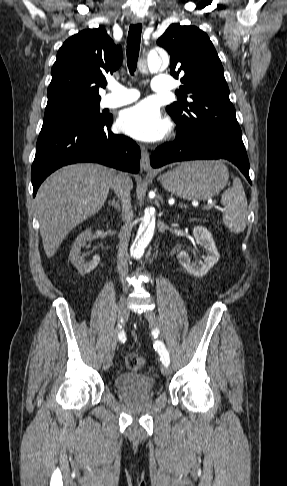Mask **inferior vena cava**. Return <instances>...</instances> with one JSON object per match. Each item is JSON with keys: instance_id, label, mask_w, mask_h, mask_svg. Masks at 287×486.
Masks as SVG:
<instances>
[{"instance_id": "1", "label": "inferior vena cava", "mask_w": 287, "mask_h": 486, "mask_svg": "<svg viewBox=\"0 0 287 486\" xmlns=\"http://www.w3.org/2000/svg\"><path fill=\"white\" fill-rule=\"evenodd\" d=\"M111 188L118 195L122 203V219L125 222L119 234V247L117 253V269L123 281L128 273V242L131 235L130 223L133 219L131 208L130 189L126 186L121 174L115 175Z\"/></svg>"}]
</instances>
